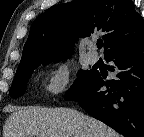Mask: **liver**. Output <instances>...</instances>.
Masks as SVG:
<instances>
[{"mask_svg":"<svg viewBox=\"0 0 144 137\" xmlns=\"http://www.w3.org/2000/svg\"><path fill=\"white\" fill-rule=\"evenodd\" d=\"M3 137H119L104 123L70 108L18 107Z\"/></svg>","mask_w":144,"mask_h":137,"instance_id":"obj_1","label":"liver"}]
</instances>
